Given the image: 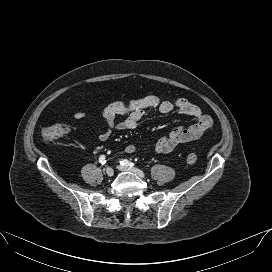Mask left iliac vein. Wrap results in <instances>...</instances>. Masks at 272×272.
I'll list each match as a JSON object with an SVG mask.
<instances>
[{
    "label": "left iliac vein",
    "mask_w": 272,
    "mask_h": 272,
    "mask_svg": "<svg viewBox=\"0 0 272 272\" xmlns=\"http://www.w3.org/2000/svg\"><path fill=\"white\" fill-rule=\"evenodd\" d=\"M117 168L121 171L132 172L140 178H145V173L138 168L128 166H118Z\"/></svg>",
    "instance_id": "1"
}]
</instances>
